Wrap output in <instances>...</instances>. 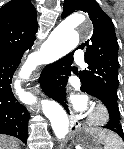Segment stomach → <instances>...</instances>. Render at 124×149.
<instances>
[{
    "label": "stomach",
    "mask_w": 124,
    "mask_h": 149,
    "mask_svg": "<svg viewBox=\"0 0 124 149\" xmlns=\"http://www.w3.org/2000/svg\"><path fill=\"white\" fill-rule=\"evenodd\" d=\"M102 138H116V136L108 131L80 128L74 133L73 141L76 145L83 147L82 149H101L100 145L104 144Z\"/></svg>",
    "instance_id": "1"
}]
</instances>
